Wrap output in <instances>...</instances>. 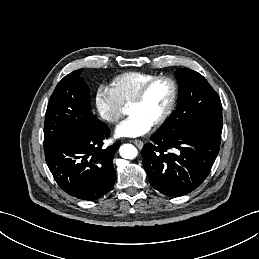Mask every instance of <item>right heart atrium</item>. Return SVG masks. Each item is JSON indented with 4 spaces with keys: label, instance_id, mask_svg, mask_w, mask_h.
Wrapping results in <instances>:
<instances>
[{
    "label": "right heart atrium",
    "instance_id": "1",
    "mask_svg": "<svg viewBox=\"0 0 259 259\" xmlns=\"http://www.w3.org/2000/svg\"><path fill=\"white\" fill-rule=\"evenodd\" d=\"M96 107L101 117L110 123L117 122L126 113V104L113 88L106 85L97 90Z\"/></svg>",
    "mask_w": 259,
    "mask_h": 259
}]
</instances>
